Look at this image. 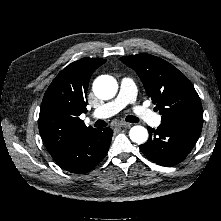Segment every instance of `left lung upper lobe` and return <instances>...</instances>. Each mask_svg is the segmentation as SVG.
Instances as JSON below:
<instances>
[{
    "instance_id": "5c2ea615",
    "label": "left lung upper lobe",
    "mask_w": 221,
    "mask_h": 221,
    "mask_svg": "<svg viewBox=\"0 0 221 221\" xmlns=\"http://www.w3.org/2000/svg\"><path fill=\"white\" fill-rule=\"evenodd\" d=\"M136 71L162 115L161 123L202 128L203 109L192 83L173 65L150 54L121 57Z\"/></svg>"
}]
</instances>
